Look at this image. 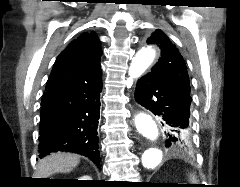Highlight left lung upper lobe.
I'll use <instances>...</instances> for the list:
<instances>
[{
    "label": "left lung upper lobe",
    "mask_w": 240,
    "mask_h": 187,
    "mask_svg": "<svg viewBox=\"0 0 240 187\" xmlns=\"http://www.w3.org/2000/svg\"><path fill=\"white\" fill-rule=\"evenodd\" d=\"M147 44L158 45L161 49V57L152 67L150 74L166 85L190 94L189 76L185 61L169 38L157 29L147 39ZM181 135L192 142L190 129L181 130Z\"/></svg>",
    "instance_id": "1"
}]
</instances>
